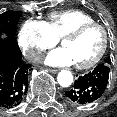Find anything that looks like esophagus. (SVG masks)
<instances>
[{"label":"esophagus","instance_id":"esophagus-1","mask_svg":"<svg viewBox=\"0 0 117 117\" xmlns=\"http://www.w3.org/2000/svg\"><path fill=\"white\" fill-rule=\"evenodd\" d=\"M47 71L50 72V73H53V74L58 72L57 69H52V68H48Z\"/></svg>","mask_w":117,"mask_h":117}]
</instances>
